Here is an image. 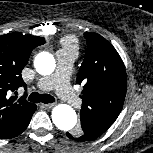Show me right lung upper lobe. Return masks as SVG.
I'll list each match as a JSON object with an SVG mask.
<instances>
[{"instance_id":"1","label":"right lung upper lobe","mask_w":153,"mask_h":153,"mask_svg":"<svg viewBox=\"0 0 153 153\" xmlns=\"http://www.w3.org/2000/svg\"><path fill=\"white\" fill-rule=\"evenodd\" d=\"M45 43L44 38L10 33L0 36V136L10 132L35 107L25 97L10 96L19 87L26 88L21 71L33 48Z\"/></svg>"}]
</instances>
